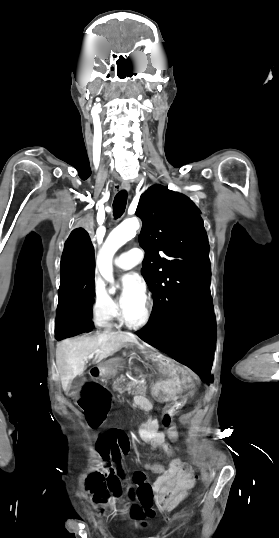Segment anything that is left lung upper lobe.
<instances>
[{"mask_svg":"<svg viewBox=\"0 0 279 538\" xmlns=\"http://www.w3.org/2000/svg\"><path fill=\"white\" fill-rule=\"evenodd\" d=\"M136 215L143 222L142 274L154 298L144 328L156 330L169 324L186 303L210 291L208 238L190 199L161 185L141 195Z\"/></svg>","mask_w":279,"mask_h":538,"instance_id":"obj_1","label":"left lung upper lobe"}]
</instances>
